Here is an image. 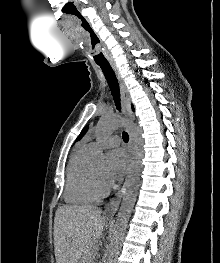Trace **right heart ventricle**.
<instances>
[{"instance_id":"e07e8e85","label":"right heart ventricle","mask_w":220,"mask_h":263,"mask_svg":"<svg viewBox=\"0 0 220 263\" xmlns=\"http://www.w3.org/2000/svg\"><path fill=\"white\" fill-rule=\"evenodd\" d=\"M93 153L94 151L85 145L80 147L69 161L64 191V199L68 204H89L98 198L90 186Z\"/></svg>"}]
</instances>
